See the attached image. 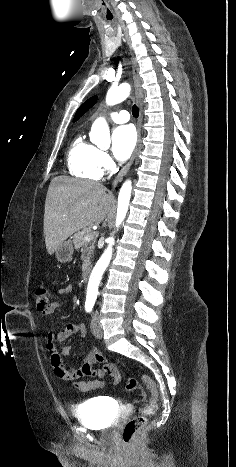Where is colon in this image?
<instances>
[{
    "instance_id": "colon-1",
    "label": "colon",
    "mask_w": 236,
    "mask_h": 467,
    "mask_svg": "<svg viewBox=\"0 0 236 467\" xmlns=\"http://www.w3.org/2000/svg\"><path fill=\"white\" fill-rule=\"evenodd\" d=\"M35 300L39 310L45 309L50 302L49 290L45 287H37L35 290ZM102 359L101 355L97 356ZM141 380L144 387L150 392V401L148 404L140 407L139 415L126 423L122 430V441L124 444H131L134 442L137 433L143 428L148 416L156 411L158 401V391L154 381L147 375H142ZM138 382L134 377H129L125 382V389L133 391L137 388Z\"/></svg>"
}]
</instances>
